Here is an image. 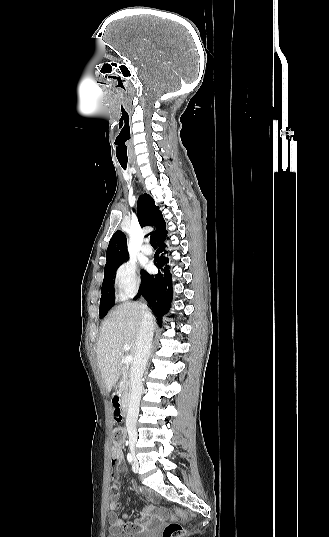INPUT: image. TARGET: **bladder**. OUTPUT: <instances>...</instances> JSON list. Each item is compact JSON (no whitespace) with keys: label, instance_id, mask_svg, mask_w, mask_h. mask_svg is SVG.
Segmentation results:
<instances>
[{"label":"bladder","instance_id":"bladder-1","mask_svg":"<svg viewBox=\"0 0 329 537\" xmlns=\"http://www.w3.org/2000/svg\"><path fill=\"white\" fill-rule=\"evenodd\" d=\"M107 537H154V534L152 532H142V533L115 532L111 529L109 530Z\"/></svg>","mask_w":329,"mask_h":537}]
</instances>
